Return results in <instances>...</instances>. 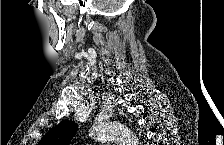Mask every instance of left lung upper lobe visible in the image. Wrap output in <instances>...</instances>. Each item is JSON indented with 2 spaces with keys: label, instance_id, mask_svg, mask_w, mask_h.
<instances>
[{
  "label": "left lung upper lobe",
  "instance_id": "obj_1",
  "mask_svg": "<svg viewBox=\"0 0 224 145\" xmlns=\"http://www.w3.org/2000/svg\"><path fill=\"white\" fill-rule=\"evenodd\" d=\"M78 125L74 122L63 121L52 128L39 142V145H68L75 133Z\"/></svg>",
  "mask_w": 224,
  "mask_h": 145
}]
</instances>
